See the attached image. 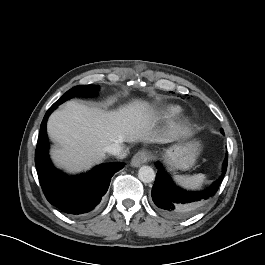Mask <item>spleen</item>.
Wrapping results in <instances>:
<instances>
[{"instance_id": "obj_1", "label": "spleen", "mask_w": 265, "mask_h": 265, "mask_svg": "<svg viewBox=\"0 0 265 265\" xmlns=\"http://www.w3.org/2000/svg\"><path fill=\"white\" fill-rule=\"evenodd\" d=\"M173 179L178 185L185 189L196 190L201 188L206 176L202 173L194 175H174Z\"/></svg>"}]
</instances>
